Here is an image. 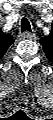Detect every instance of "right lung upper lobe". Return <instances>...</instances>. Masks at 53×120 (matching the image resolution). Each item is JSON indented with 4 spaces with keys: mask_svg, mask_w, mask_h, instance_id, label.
I'll return each instance as SVG.
<instances>
[{
    "mask_svg": "<svg viewBox=\"0 0 53 120\" xmlns=\"http://www.w3.org/2000/svg\"><path fill=\"white\" fill-rule=\"evenodd\" d=\"M14 42L13 37L7 33L0 32V58L6 53L7 49Z\"/></svg>",
    "mask_w": 53,
    "mask_h": 120,
    "instance_id": "1",
    "label": "right lung upper lobe"
}]
</instances>
